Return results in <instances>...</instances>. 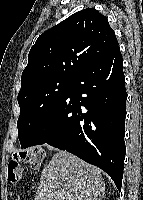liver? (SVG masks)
<instances>
[{
    "instance_id": "liver-1",
    "label": "liver",
    "mask_w": 143,
    "mask_h": 200,
    "mask_svg": "<svg viewBox=\"0 0 143 200\" xmlns=\"http://www.w3.org/2000/svg\"><path fill=\"white\" fill-rule=\"evenodd\" d=\"M105 189L98 168L58 151L42 171L34 200H102Z\"/></svg>"
}]
</instances>
